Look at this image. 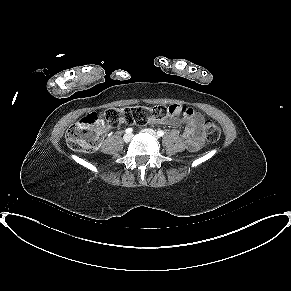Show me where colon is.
<instances>
[{"label": "colon", "mask_w": 291, "mask_h": 291, "mask_svg": "<svg viewBox=\"0 0 291 291\" xmlns=\"http://www.w3.org/2000/svg\"><path fill=\"white\" fill-rule=\"evenodd\" d=\"M186 110V106H133L125 108H109L100 114L90 113L79 120L66 133V143L74 151L93 152L98 147L101 122L109 124L127 123L144 125L151 120H162L170 115ZM205 138L208 142H216L220 138V128L211 120L203 125Z\"/></svg>", "instance_id": "obj_1"}]
</instances>
